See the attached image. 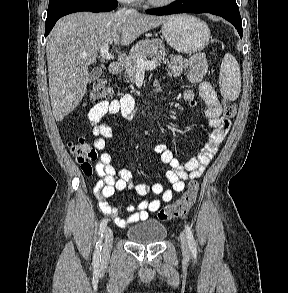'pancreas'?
Segmentation results:
<instances>
[{
    "label": "pancreas",
    "instance_id": "cf45deb5",
    "mask_svg": "<svg viewBox=\"0 0 288 293\" xmlns=\"http://www.w3.org/2000/svg\"><path fill=\"white\" fill-rule=\"evenodd\" d=\"M167 57V50L163 42L160 39H145L139 41L134 45L130 54L121 61V71L123 72L125 78H128L130 81H134L137 73V59H147L151 58L154 61H163L168 63L169 60Z\"/></svg>",
    "mask_w": 288,
    "mask_h": 293
}]
</instances>
